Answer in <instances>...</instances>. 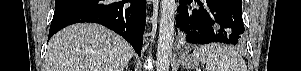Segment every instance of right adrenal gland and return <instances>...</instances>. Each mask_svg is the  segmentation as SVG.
Instances as JSON below:
<instances>
[{"instance_id": "1", "label": "right adrenal gland", "mask_w": 301, "mask_h": 71, "mask_svg": "<svg viewBox=\"0 0 301 71\" xmlns=\"http://www.w3.org/2000/svg\"><path fill=\"white\" fill-rule=\"evenodd\" d=\"M125 71H128V65H126V67H125Z\"/></svg>"}]
</instances>
